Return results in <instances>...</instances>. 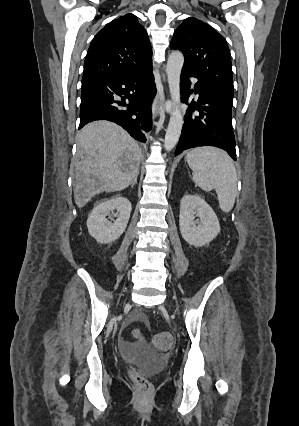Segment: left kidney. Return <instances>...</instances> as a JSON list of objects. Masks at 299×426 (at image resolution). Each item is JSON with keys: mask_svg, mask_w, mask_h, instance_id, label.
Returning <instances> with one entry per match:
<instances>
[{"mask_svg": "<svg viewBox=\"0 0 299 426\" xmlns=\"http://www.w3.org/2000/svg\"><path fill=\"white\" fill-rule=\"evenodd\" d=\"M195 217L199 220H195ZM179 226L183 239L195 247L210 243L220 232L215 212L199 195H185L182 198Z\"/></svg>", "mask_w": 299, "mask_h": 426, "instance_id": "obj_1", "label": "left kidney"}]
</instances>
